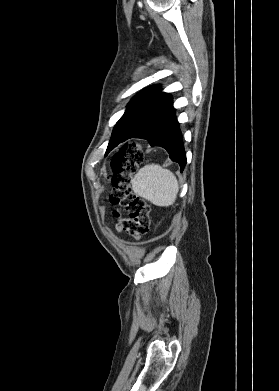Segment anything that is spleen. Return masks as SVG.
<instances>
[{
    "label": "spleen",
    "instance_id": "spleen-1",
    "mask_svg": "<svg viewBox=\"0 0 279 391\" xmlns=\"http://www.w3.org/2000/svg\"><path fill=\"white\" fill-rule=\"evenodd\" d=\"M135 194L160 207L174 204L179 191L176 176L158 164H149L131 180Z\"/></svg>",
    "mask_w": 279,
    "mask_h": 391
}]
</instances>
